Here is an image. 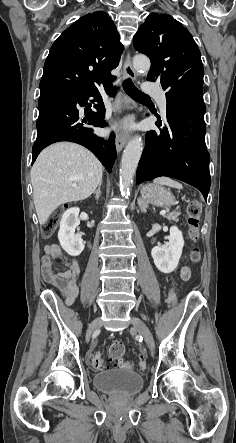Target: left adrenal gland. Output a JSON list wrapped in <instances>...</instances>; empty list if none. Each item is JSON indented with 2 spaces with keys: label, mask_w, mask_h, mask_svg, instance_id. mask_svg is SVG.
Returning a JSON list of instances; mask_svg holds the SVG:
<instances>
[{
  "label": "left adrenal gland",
  "mask_w": 236,
  "mask_h": 443,
  "mask_svg": "<svg viewBox=\"0 0 236 443\" xmlns=\"http://www.w3.org/2000/svg\"><path fill=\"white\" fill-rule=\"evenodd\" d=\"M138 204H139V207L141 209V212L145 213L146 209L148 208V205L146 203L140 202V201L138 202Z\"/></svg>",
  "instance_id": "obj_1"
}]
</instances>
